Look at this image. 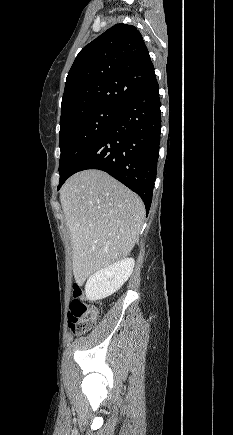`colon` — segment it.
<instances>
[{
    "label": "colon",
    "instance_id": "colon-1",
    "mask_svg": "<svg viewBox=\"0 0 233 435\" xmlns=\"http://www.w3.org/2000/svg\"><path fill=\"white\" fill-rule=\"evenodd\" d=\"M83 294V285L75 283L69 313V326L75 335H81L93 329L99 316L98 308L89 307L85 304Z\"/></svg>",
    "mask_w": 233,
    "mask_h": 435
}]
</instances>
